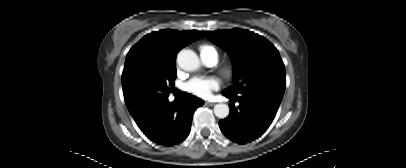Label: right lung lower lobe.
<instances>
[{"mask_svg": "<svg viewBox=\"0 0 406 168\" xmlns=\"http://www.w3.org/2000/svg\"><path fill=\"white\" fill-rule=\"evenodd\" d=\"M177 103L168 97L153 105L131 113L140 130L152 141L172 146L183 141L189 134L194 111L203 100L184 93Z\"/></svg>", "mask_w": 406, "mask_h": 168, "instance_id": "1", "label": "right lung lower lobe"}]
</instances>
